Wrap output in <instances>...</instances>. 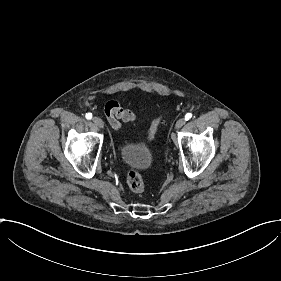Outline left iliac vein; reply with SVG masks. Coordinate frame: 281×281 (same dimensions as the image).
<instances>
[{"mask_svg":"<svg viewBox=\"0 0 281 281\" xmlns=\"http://www.w3.org/2000/svg\"><path fill=\"white\" fill-rule=\"evenodd\" d=\"M184 124H185V119L183 117H180L178 121H176L175 130L176 128L183 127Z\"/></svg>","mask_w":281,"mask_h":281,"instance_id":"1","label":"left iliac vein"}]
</instances>
